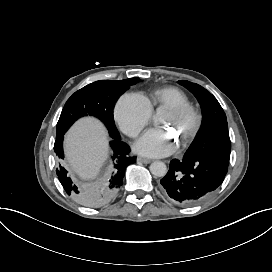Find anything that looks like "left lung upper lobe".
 Here are the masks:
<instances>
[{
  "label": "left lung upper lobe",
  "mask_w": 272,
  "mask_h": 272,
  "mask_svg": "<svg viewBox=\"0 0 272 272\" xmlns=\"http://www.w3.org/2000/svg\"><path fill=\"white\" fill-rule=\"evenodd\" d=\"M178 83L197 98L203 113V124L184 156H218L229 160L231 142L225 112L216 98L202 86L186 80Z\"/></svg>",
  "instance_id": "5c2ea615"
}]
</instances>
